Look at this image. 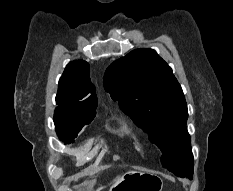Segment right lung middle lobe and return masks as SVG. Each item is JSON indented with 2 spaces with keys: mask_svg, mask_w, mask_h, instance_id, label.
Returning <instances> with one entry per match:
<instances>
[{
  "mask_svg": "<svg viewBox=\"0 0 233 191\" xmlns=\"http://www.w3.org/2000/svg\"><path fill=\"white\" fill-rule=\"evenodd\" d=\"M95 113L91 114H69L55 110L54 123L56 132L60 140L66 144L74 142V138L78 135L81 129L91 123Z\"/></svg>",
  "mask_w": 233,
  "mask_h": 191,
  "instance_id": "right-lung-middle-lobe-1",
  "label": "right lung middle lobe"
}]
</instances>
